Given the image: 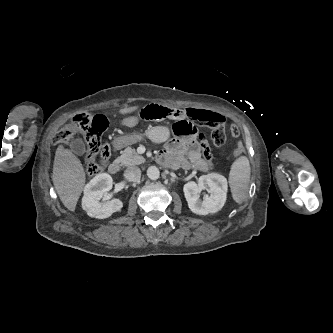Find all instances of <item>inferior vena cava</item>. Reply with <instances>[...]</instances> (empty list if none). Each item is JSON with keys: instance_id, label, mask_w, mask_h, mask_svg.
I'll return each mask as SVG.
<instances>
[{"instance_id": "inferior-vena-cava-1", "label": "inferior vena cava", "mask_w": 333, "mask_h": 333, "mask_svg": "<svg viewBox=\"0 0 333 333\" xmlns=\"http://www.w3.org/2000/svg\"><path fill=\"white\" fill-rule=\"evenodd\" d=\"M124 177L130 182L136 181L141 177V170L138 167H129L124 171Z\"/></svg>"}]
</instances>
